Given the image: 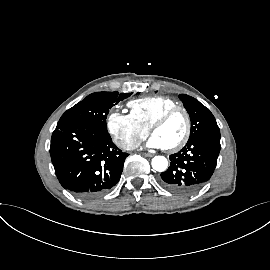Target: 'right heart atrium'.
I'll return each instance as SVG.
<instances>
[{"mask_svg": "<svg viewBox=\"0 0 270 270\" xmlns=\"http://www.w3.org/2000/svg\"><path fill=\"white\" fill-rule=\"evenodd\" d=\"M106 126L116 143L126 150L133 149L149 132V129L142 126L131 113L119 110H112L108 114Z\"/></svg>", "mask_w": 270, "mask_h": 270, "instance_id": "obj_1", "label": "right heart atrium"}]
</instances>
